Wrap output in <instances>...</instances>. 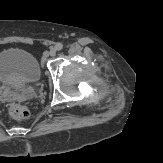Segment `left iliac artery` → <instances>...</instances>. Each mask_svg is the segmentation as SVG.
Instances as JSON below:
<instances>
[{
	"mask_svg": "<svg viewBox=\"0 0 163 163\" xmlns=\"http://www.w3.org/2000/svg\"><path fill=\"white\" fill-rule=\"evenodd\" d=\"M56 50H62L63 49V44L62 43H57L55 46Z\"/></svg>",
	"mask_w": 163,
	"mask_h": 163,
	"instance_id": "1",
	"label": "left iliac artery"
}]
</instances>
